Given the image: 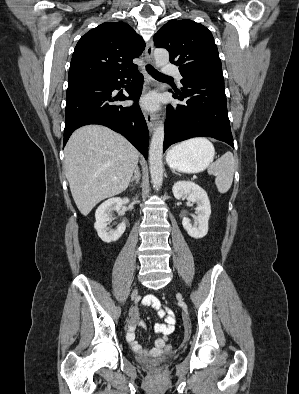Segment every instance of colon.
<instances>
[{"label": "colon", "mask_w": 299, "mask_h": 394, "mask_svg": "<svg viewBox=\"0 0 299 394\" xmlns=\"http://www.w3.org/2000/svg\"><path fill=\"white\" fill-rule=\"evenodd\" d=\"M172 347L171 346H168V349H171Z\"/></svg>", "instance_id": "1"}]
</instances>
